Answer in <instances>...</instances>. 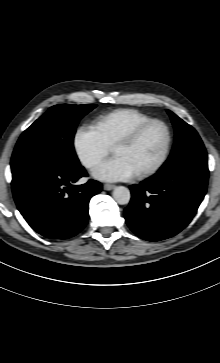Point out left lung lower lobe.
Instances as JSON below:
<instances>
[{"label": "left lung lower lobe", "instance_id": "obj_1", "mask_svg": "<svg viewBox=\"0 0 220 363\" xmlns=\"http://www.w3.org/2000/svg\"><path fill=\"white\" fill-rule=\"evenodd\" d=\"M208 176L207 154H191L163 165L139 185L130 186L132 198L124 211L129 228L148 241L176 235L197 212Z\"/></svg>", "mask_w": 220, "mask_h": 363}]
</instances>
